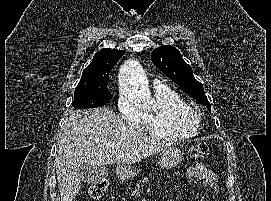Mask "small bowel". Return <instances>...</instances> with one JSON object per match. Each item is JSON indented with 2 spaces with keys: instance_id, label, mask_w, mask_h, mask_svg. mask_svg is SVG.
<instances>
[{
  "instance_id": "c3829d8e",
  "label": "small bowel",
  "mask_w": 271,
  "mask_h": 201,
  "mask_svg": "<svg viewBox=\"0 0 271 201\" xmlns=\"http://www.w3.org/2000/svg\"><path fill=\"white\" fill-rule=\"evenodd\" d=\"M186 177L190 183H200L218 190V177L204 165H195L188 169Z\"/></svg>"
}]
</instances>
